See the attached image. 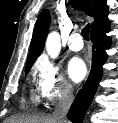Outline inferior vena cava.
<instances>
[{"instance_id":"obj_1","label":"inferior vena cava","mask_w":118,"mask_h":123,"mask_svg":"<svg viewBox=\"0 0 118 123\" xmlns=\"http://www.w3.org/2000/svg\"><path fill=\"white\" fill-rule=\"evenodd\" d=\"M73 95H72V88L69 84L63 85L58 103L55 107V110L52 116L60 123H66L65 117L66 114L72 104Z\"/></svg>"}]
</instances>
